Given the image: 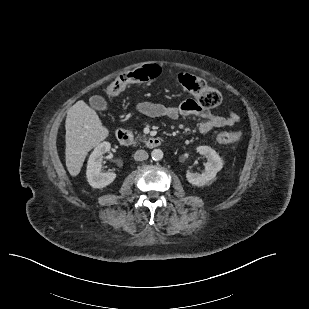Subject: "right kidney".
<instances>
[{
    "label": "right kidney",
    "instance_id": "ca27d5eb",
    "mask_svg": "<svg viewBox=\"0 0 309 309\" xmlns=\"http://www.w3.org/2000/svg\"><path fill=\"white\" fill-rule=\"evenodd\" d=\"M110 148L109 142H102L95 147L88 159L86 176L88 183L93 188H104L116 178V174L113 172H101L103 154L110 151Z\"/></svg>",
    "mask_w": 309,
    "mask_h": 309
}]
</instances>
